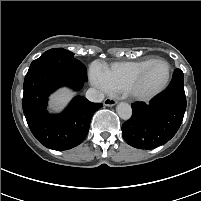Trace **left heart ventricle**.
I'll return each mask as SVG.
<instances>
[{"instance_id":"b2bd125f","label":"left heart ventricle","mask_w":201,"mask_h":201,"mask_svg":"<svg viewBox=\"0 0 201 201\" xmlns=\"http://www.w3.org/2000/svg\"><path fill=\"white\" fill-rule=\"evenodd\" d=\"M166 74L167 67L164 63L153 64L144 75L140 90L145 92L154 90L164 81Z\"/></svg>"}]
</instances>
